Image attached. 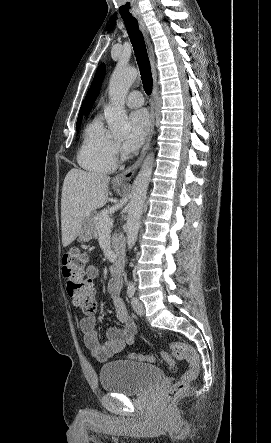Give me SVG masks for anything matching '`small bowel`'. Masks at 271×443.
I'll return each mask as SVG.
<instances>
[{
	"mask_svg": "<svg viewBox=\"0 0 271 443\" xmlns=\"http://www.w3.org/2000/svg\"><path fill=\"white\" fill-rule=\"evenodd\" d=\"M86 275L88 278L94 279L98 275L97 268L94 266L89 267ZM120 288V281L113 280L108 286V292L112 297L116 317L122 327L109 328L105 342H102L99 337L94 317H84L80 320V329L84 334L85 344L98 361H106L115 354L122 352L134 340L136 327L123 301L119 298Z\"/></svg>",
	"mask_w": 271,
	"mask_h": 443,
	"instance_id": "small-bowel-1",
	"label": "small bowel"
}]
</instances>
